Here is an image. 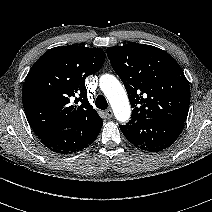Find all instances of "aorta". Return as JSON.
Returning <instances> with one entry per match:
<instances>
[{"instance_id": "1", "label": "aorta", "mask_w": 212, "mask_h": 212, "mask_svg": "<svg viewBox=\"0 0 212 212\" xmlns=\"http://www.w3.org/2000/svg\"><path fill=\"white\" fill-rule=\"evenodd\" d=\"M99 86L107 97L116 119L119 122H127L131 115V108L127 94L119 80L111 74H104L100 77Z\"/></svg>"}]
</instances>
